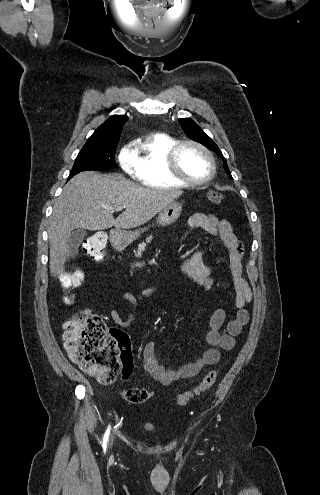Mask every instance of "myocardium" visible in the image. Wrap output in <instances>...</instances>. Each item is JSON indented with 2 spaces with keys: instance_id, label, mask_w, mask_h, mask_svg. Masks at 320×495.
Here are the masks:
<instances>
[{
  "instance_id": "f54148a6",
  "label": "myocardium",
  "mask_w": 320,
  "mask_h": 495,
  "mask_svg": "<svg viewBox=\"0 0 320 495\" xmlns=\"http://www.w3.org/2000/svg\"><path fill=\"white\" fill-rule=\"evenodd\" d=\"M186 146H193L197 149H199L201 152L204 153V155L207 157L209 163H210V172L207 175V177L203 179H191L184 175L182 172L180 165H179V155L181 150L186 147ZM167 168L169 173L176 178L177 180L183 182L185 185L188 186H198V185H204L210 182L213 177L216 174V162L214 159L213 154L211 151L205 147L203 144L194 141V140H183V141H178L167 153Z\"/></svg>"
}]
</instances>
